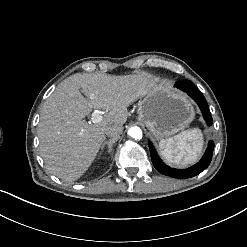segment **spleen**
<instances>
[{
  "mask_svg": "<svg viewBox=\"0 0 247 247\" xmlns=\"http://www.w3.org/2000/svg\"><path fill=\"white\" fill-rule=\"evenodd\" d=\"M172 143L179 148L177 155L169 150ZM204 145L205 138L202 130L194 128L184 131L174 139L160 140L158 147L161 157L167 163L176 165L179 168H187L200 160Z\"/></svg>",
  "mask_w": 247,
  "mask_h": 247,
  "instance_id": "3e777b00",
  "label": "spleen"
}]
</instances>
